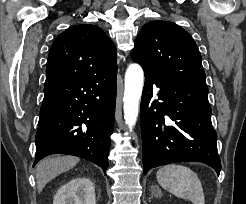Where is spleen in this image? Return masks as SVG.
<instances>
[{"instance_id": "obj_1", "label": "spleen", "mask_w": 246, "mask_h": 204, "mask_svg": "<svg viewBox=\"0 0 246 204\" xmlns=\"http://www.w3.org/2000/svg\"><path fill=\"white\" fill-rule=\"evenodd\" d=\"M156 178L162 188L193 204H204L205 197L200 179L190 168L169 164L161 167Z\"/></svg>"}]
</instances>
